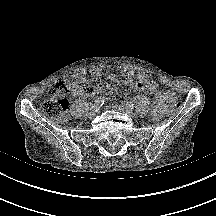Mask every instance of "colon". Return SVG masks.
Instances as JSON below:
<instances>
[{"instance_id": "colon-1", "label": "colon", "mask_w": 216, "mask_h": 216, "mask_svg": "<svg viewBox=\"0 0 216 216\" xmlns=\"http://www.w3.org/2000/svg\"><path fill=\"white\" fill-rule=\"evenodd\" d=\"M78 85L69 82L64 78L59 79L53 85L48 99L42 103V111L49 117L59 121H67V108L69 105L68 98ZM170 110L178 112L180 109V101L174 93H169Z\"/></svg>"}]
</instances>
